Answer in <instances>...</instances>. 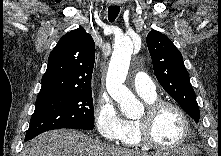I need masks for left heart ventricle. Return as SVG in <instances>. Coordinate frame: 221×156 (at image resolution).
Listing matches in <instances>:
<instances>
[{
    "mask_svg": "<svg viewBox=\"0 0 221 156\" xmlns=\"http://www.w3.org/2000/svg\"><path fill=\"white\" fill-rule=\"evenodd\" d=\"M183 134L184 122L178 112L172 108L163 109L152 126L154 140L159 144L171 146L178 143Z\"/></svg>",
    "mask_w": 221,
    "mask_h": 156,
    "instance_id": "1",
    "label": "left heart ventricle"
}]
</instances>
